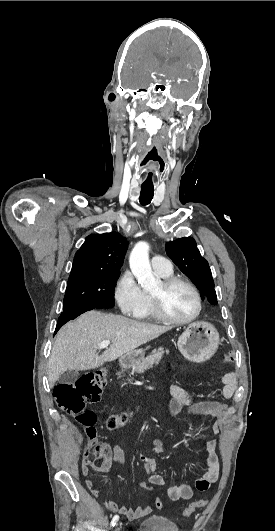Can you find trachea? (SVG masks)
<instances>
[{
    "mask_svg": "<svg viewBox=\"0 0 275 531\" xmlns=\"http://www.w3.org/2000/svg\"><path fill=\"white\" fill-rule=\"evenodd\" d=\"M153 196H154V187L141 186V193H140L139 201L142 205L149 204Z\"/></svg>",
    "mask_w": 275,
    "mask_h": 531,
    "instance_id": "trachea-1",
    "label": "trachea"
}]
</instances>
